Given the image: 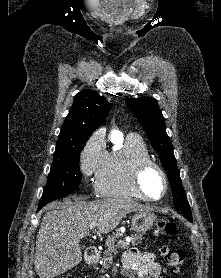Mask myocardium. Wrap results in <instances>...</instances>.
<instances>
[{"instance_id":"f54148a6","label":"myocardium","mask_w":221,"mask_h":278,"mask_svg":"<svg viewBox=\"0 0 221 278\" xmlns=\"http://www.w3.org/2000/svg\"><path fill=\"white\" fill-rule=\"evenodd\" d=\"M150 170H155L159 173L163 181V192L159 197H152L146 191L144 185V176ZM132 184L135 191L147 201H159L161 200L168 191V179L164 169L152 159H142L135 163L132 170Z\"/></svg>"}]
</instances>
